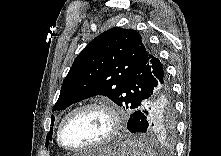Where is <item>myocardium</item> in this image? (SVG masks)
I'll return each mask as SVG.
<instances>
[{
    "mask_svg": "<svg viewBox=\"0 0 221 156\" xmlns=\"http://www.w3.org/2000/svg\"><path fill=\"white\" fill-rule=\"evenodd\" d=\"M91 108H96V109H101L105 111L109 118H110V129L108 133L99 141L96 143L85 146V147H70L64 143L63 140V131L65 128V125L67 122L77 113L86 110V109H91ZM122 125V118L121 115L118 111V109L110 102L105 101V100H94L90 101L87 103H84L73 110H71L61 121L58 131H57V142L58 144L65 150L70 151V152H82V151H87V150H92L98 147H101L110 141H112L119 133L120 128Z\"/></svg>",
    "mask_w": 221,
    "mask_h": 156,
    "instance_id": "myocardium-1",
    "label": "myocardium"
}]
</instances>
